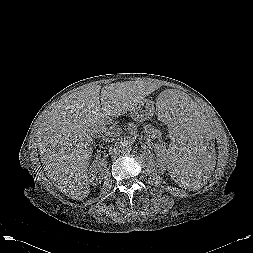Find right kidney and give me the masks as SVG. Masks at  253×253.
<instances>
[{"label": "right kidney", "instance_id": "ca27d5eb", "mask_svg": "<svg viewBox=\"0 0 253 253\" xmlns=\"http://www.w3.org/2000/svg\"><path fill=\"white\" fill-rule=\"evenodd\" d=\"M91 172H92V178L90 179L91 182H94V179L96 177V174H95V168H90ZM94 172V173H93Z\"/></svg>", "mask_w": 253, "mask_h": 253}]
</instances>
